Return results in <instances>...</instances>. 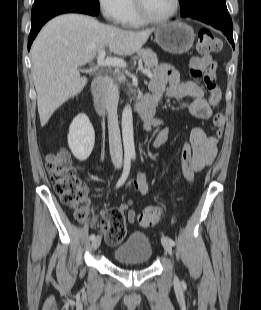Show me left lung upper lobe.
<instances>
[{
	"label": "left lung upper lobe",
	"mask_w": 261,
	"mask_h": 310,
	"mask_svg": "<svg viewBox=\"0 0 261 310\" xmlns=\"http://www.w3.org/2000/svg\"><path fill=\"white\" fill-rule=\"evenodd\" d=\"M181 5V16L189 17L205 11L217 2L225 0H179Z\"/></svg>",
	"instance_id": "left-lung-upper-lobe-1"
}]
</instances>
